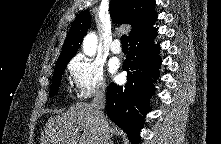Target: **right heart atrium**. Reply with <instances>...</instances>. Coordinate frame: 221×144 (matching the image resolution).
Segmentation results:
<instances>
[{
  "mask_svg": "<svg viewBox=\"0 0 221 144\" xmlns=\"http://www.w3.org/2000/svg\"><path fill=\"white\" fill-rule=\"evenodd\" d=\"M68 69L78 98L87 99L105 91L104 68L100 62L79 54L70 61Z\"/></svg>",
  "mask_w": 221,
  "mask_h": 144,
  "instance_id": "d8ad5b80",
  "label": "right heart atrium"
}]
</instances>
